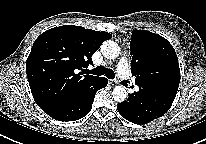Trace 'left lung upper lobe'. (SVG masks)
<instances>
[{"instance_id": "1", "label": "left lung upper lobe", "mask_w": 206, "mask_h": 144, "mask_svg": "<svg viewBox=\"0 0 206 144\" xmlns=\"http://www.w3.org/2000/svg\"><path fill=\"white\" fill-rule=\"evenodd\" d=\"M131 71L138 86H145L151 96H176L180 69L172 45L150 31L133 30L130 42Z\"/></svg>"}]
</instances>
